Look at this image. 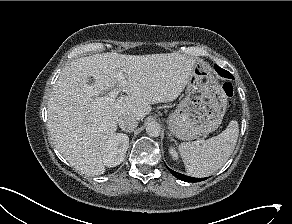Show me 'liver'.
Wrapping results in <instances>:
<instances>
[{"instance_id":"liver-1","label":"liver","mask_w":292,"mask_h":224,"mask_svg":"<svg viewBox=\"0 0 292 224\" xmlns=\"http://www.w3.org/2000/svg\"><path fill=\"white\" fill-rule=\"evenodd\" d=\"M195 60L179 53L81 57L63 68L48 101V127L56 149L88 176L105 172L102 159L120 116L143 120L150 104L176 99ZM119 74L126 84L120 85ZM117 86L127 96L92 107L93 97Z\"/></svg>"}]
</instances>
